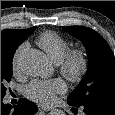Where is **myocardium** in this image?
Instances as JSON below:
<instances>
[{"mask_svg":"<svg viewBox=\"0 0 115 115\" xmlns=\"http://www.w3.org/2000/svg\"><path fill=\"white\" fill-rule=\"evenodd\" d=\"M58 66L59 73L70 82L80 81L89 66L87 54L82 48L69 49Z\"/></svg>","mask_w":115,"mask_h":115,"instance_id":"1","label":"myocardium"}]
</instances>
